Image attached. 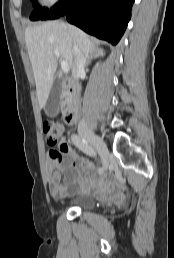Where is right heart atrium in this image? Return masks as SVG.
Returning a JSON list of instances; mask_svg holds the SVG:
<instances>
[{
  "label": "right heart atrium",
  "mask_w": 174,
  "mask_h": 258,
  "mask_svg": "<svg viewBox=\"0 0 174 258\" xmlns=\"http://www.w3.org/2000/svg\"><path fill=\"white\" fill-rule=\"evenodd\" d=\"M41 3L44 5V6H52L54 5L55 3H57L59 0H40Z\"/></svg>",
  "instance_id": "1"
}]
</instances>
